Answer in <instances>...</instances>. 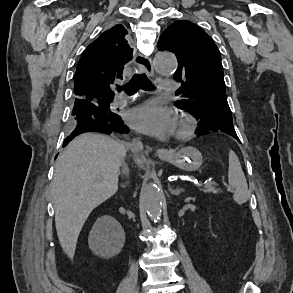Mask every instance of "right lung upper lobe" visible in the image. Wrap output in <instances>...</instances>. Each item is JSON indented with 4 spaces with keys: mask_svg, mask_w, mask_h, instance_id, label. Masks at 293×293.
Wrapping results in <instances>:
<instances>
[{
    "mask_svg": "<svg viewBox=\"0 0 293 293\" xmlns=\"http://www.w3.org/2000/svg\"><path fill=\"white\" fill-rule=\"evenodd\" d=\"M126 34L122 25H115L87 47L74 75L76 99H113L124 66L132 59L133 49L125 39Z\"/></svg>",
    "mask_w": 293,
    "mask_h": 293,
    "instance_id": "obj_1",
    "label": "right lung upper lobe"
}]
</instances>
